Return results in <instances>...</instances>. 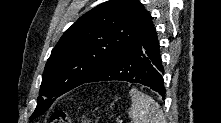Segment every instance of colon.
Segmentation results:
<instances>
[{"label":"colon","mask_w":221,"mask_h":123,"mask_svg":"<svg viewBox=\"0 0 221 123\" xmlns=\"http://www.w3.org/2000/svg\"><path fill=\"white\" fill-rule=\"evenodd\" d=\"M52 123H71V118L64 111H56L51 115Z\"/></svg>","instance_id":"colon-1"}]
</instances>
